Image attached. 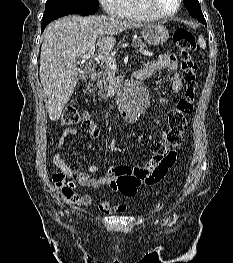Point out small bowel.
<instances>
[{"label": "small bowel", "mask_w": 233, "mask_h": 263, "mask_svg": "<svg viewBox=\"0 0 233 263\" xmlns=\"http://www.w3.org/2000/svg\"><path fill=\"white\" fill-rule=\"evenodd\" d=\"M177 67L178 61L176 55L162 54L155 61L146 64L142 70L147 76H151L163 69L176 70ZM172 89L175 93H180L183 89V82L178 73H174L173 75ZM77 133L78 130L75 128H67L63 130L57 143V150L53 156L55 164L65 175V180L55 183L56 188L67 201L75 205L89 206L100 196V194L94 195L92 193H85L83 195L75 193L73 188L68 186L72 178H76L77 182L83 187H108L112 192L124 197H134L142 183L148 185L154 184L147 182L145 176L121 173V169L134 168L127 165L110 166L106 169L96 165H91L86 169H77L68 165L62 156V152L66 149L65 143L68 137ZM157 164L158 159L152 158L144 167L135 168L140 169L145 175H147L157 166ZM98 172H100L101 175L94 176V174ZM98 207L101 212L106 214L119 213L124 210L123 206L115 205L109 200L100 202Z\"/></svg>", "instance_id": "obj_1"}]
</instances>
